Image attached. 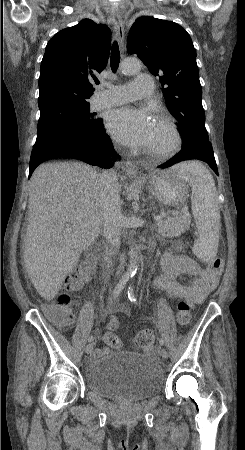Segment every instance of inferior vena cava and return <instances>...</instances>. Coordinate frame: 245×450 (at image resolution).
<instances>
[{"label":"inferior vena cava","mask_w":245,"mask_h":450,"mask_svg":"<svg viewBox=\"0 0 245 450\" xmlns=\"http://www.w3.org/2000/svg\"><path fill=\"white\" fill-rule=\"evenodd\" d=\"M100 206L103 216V234L117 250L120 248V235L123 224L119 196L118 179L114 171L109 170L100 176Z\"/></svg>","instance_id":"obj_1"}]
</instances>
